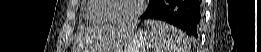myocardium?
I'll use <instances>...</instances> for the list:
<instances>
[{
    "instance_id": "f54148a6",
    "label": "myocardium",
    "mask_w": 261,
    "mask_h": 52,
    "mask_svg": "<svg viewBox=\"0 0 261 52\" xmlns=\"http://www.w3.org/2000/svg\"><path fill=\"white\" fill-rule=\"evenodd\" d=\"M145 2H146L145 0H139L138 8L132 15L128 16L127 18H113L110 15V11L112 9L113 4H112L111 0H104L103 12L108 17V19L111 23L121 24V25L122 24H131V23H134L144 12Z\"/></svg>"
}]
</instances>
